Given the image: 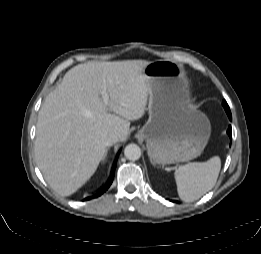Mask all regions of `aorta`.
Segmentation results:
<instances>
[{"label":"aorta","instance_id":"obj_1","mask_svg":"<svg viewBox=\"0 0 261 254\" xmlns=\"http://www.w3.org/2000/svg\"><path fill=\"white\" fill-rule=\"evenodd\" d=\"M124 155L128 160H138L141 157V149L136 144H129L124 149Z\"/></svg>","mask_w":261,"mask_h":254}]
</instances>
